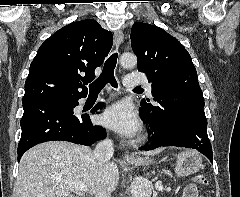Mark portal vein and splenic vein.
Here are the masks:
<instances>
[{
	"label": "portal vein and splenic vein",
	"instance_id": "obj_1",
	"mask_svg": "<svg viewBox=\"0 0 240 197\" xmlns=\"http://www.w3.org/2000/svg\"><path fill=\"white\" fill-rule=\"evenodd\" d=\"M66 183H68V185L72 189L83 191V192L87 191V187L84 184H82V183H76V182H66Z\"/></svg>",
	"mask_w": 240,
	"mask_h": 197
}]
</instances>
